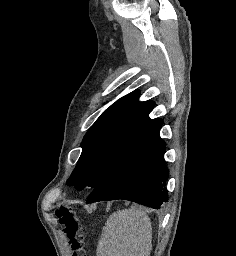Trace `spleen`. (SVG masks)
I'll list each match as a JSON object with an SVG mask.
<instances>
[{"mask_svg":"<svg viewBox=\"0 0 236 256\" xmlns=\"http://www.w3.org/2000/svg\"><path fill=\"white\" fill-rule=\"evenodd\" d=\"M152 226L149 216L131 206L109 216L102 228L97 256H150Z\"/></svg>","mask_w":236,"mask_h":256,"instance_id":"spleen-1","label":"spleen"}]
</instances>
